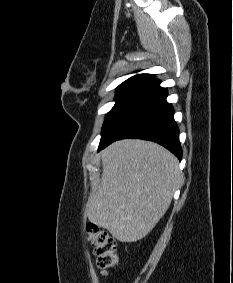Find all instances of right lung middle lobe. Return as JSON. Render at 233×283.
<instances>
[{"label":"right lung middle lobe","instance_id":"obj_1","mask_svg":"<svg viewBox=\"0 0 233 283\" xmlns=\"http://www.w3.org/2000/svg\"><path fill=\"white\" fill-rule=\"evenodd\" d=\"M151 85L150 82H129L119 85L116 89L115 105L105 116L99 146L107 139L110 132L121 120L141 93Z\"/></svg>","mask_w":233,"mask_h":283}]
</instances>
